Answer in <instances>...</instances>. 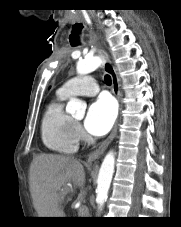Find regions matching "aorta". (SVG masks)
<instances>
[{
	"label": "aorta",
	"instance_id": "obj_1",
	"mask_svg": "<svg viewBox=\"0 0 181 227\" xmlns=\"http://www.w3.org/2000/svg\"><path fill=\"white\" fill-rule=\"evenodd\" d=\"M102 64V59L98 56L89 57L77 62V72L79 74H88L96 70ZM86 103L79 99H71L66 107V111L76 117H82L85 114ZM115 166V153L109 151L101 164L99 175L97 179L96 189V202L98 204V210H102V207L107 199L108 190L112 181Z\"/></svg>",
	"mask_w": 181,
	"mask_h": 227
}]
</instances>
